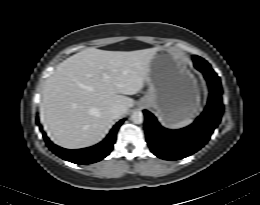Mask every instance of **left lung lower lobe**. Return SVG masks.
I'll list each match as a JSON object with an SVG mask.
<instances>
[{
	"label": "left lung lower lobe",
	"mask_w": 260,
	"mask_h": 205,
	"mask_svg": "<svg viewBox=\"0 0 260 205\" xmlns=\"http://www.w3.org/2000/svg\"><path fill=\"white\" fill-rule=\"evenodd\" d=\"M195 67L206 78L210 96L204 112L193 124L179 130H168L150 112L143 111L146 116L147 143L150 150L161 159L178 160L195 153L207 143L221 120L223 104L220 78L210 67Z\"/></svg>",
	"instance_id": "left-lung-lower-lobe-1"
}]
</instances>
